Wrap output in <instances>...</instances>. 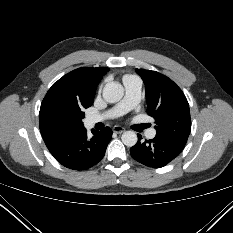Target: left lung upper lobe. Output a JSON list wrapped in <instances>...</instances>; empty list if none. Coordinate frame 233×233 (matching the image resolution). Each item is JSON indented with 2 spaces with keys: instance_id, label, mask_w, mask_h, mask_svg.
<instances>
[{
  "instance_id": "1",
  "label": "left lung upper lobe",
  "mask_w": 233,
  "mask_h": 233,
  "mask_svg": "<svg viewBox=\"0 0 233 233\" xmlns=\"http://www.w3.org/2000/svg\"><path fill=\"white\" fill-rule=\"evenodd\" d=\"M146 87L147 113L157 126L156 136L185 145L191 131L188 101L181 89L156 71L136 69Z\"/></svg>"
}]
</instances>
